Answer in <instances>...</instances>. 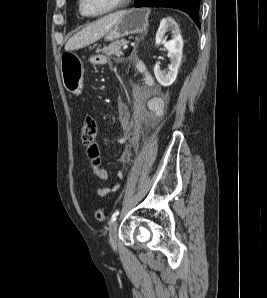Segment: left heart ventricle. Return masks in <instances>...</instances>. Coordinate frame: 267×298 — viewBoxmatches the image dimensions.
<instances>
[{
    "instance_id": "1",
    "label": "left heart ventricle",
    "mask_w": 267,
    "mask_h": 298,
    "mask_svg": "<svg viewBox=\"0 0 267 298\" xmlns=\"http://www.w3.org/2000/svg\"><path fill=\"white\" fill-rule=\"evenodd\" d=\"M116 1L117 0H83V8L88 14H97L112 7Z\"/></svg>"
}]
</instances>
